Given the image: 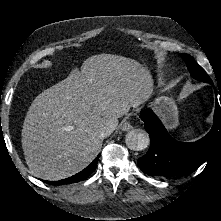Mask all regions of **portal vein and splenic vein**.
<instances>
[{"label": "portal vein and splenic vein", "mask_w": 221, "mask_h": 221, "mask_svg": "<svg viewBox=\"0 0 221 221\" xmlns=\"http://www.w3.org/2000/svg\"><path fill=\"white\" fill-rule=\"evenodd\" d=\"M65 129H66L67 131H69V130H72L73 127H72L71 125H69V126H67Z\"/></svg>", "instance_id": "1"}]
</instances>
